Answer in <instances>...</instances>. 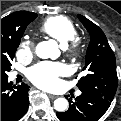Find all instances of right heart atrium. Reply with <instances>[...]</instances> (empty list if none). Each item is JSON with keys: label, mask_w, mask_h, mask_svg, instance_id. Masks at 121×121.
I'll list each match as a JSON object with an SVG mask.
<instances>
[{"label": "right heart atrium", "mask_w": 121, "mask_h": 121, "mask_svg": "<svg viewBox=\"0 0 121 121\" xmlns=\"http://www.w3.org/2000/svg\"><path fill=\"white\" fill-rule=\"evenodd\" d=\"M34 50V43L31 40H26L22 42L19 50L18 55L25 57L30 56Z\"/></svg>", "instance_id": "d8ad5b80"}]
</instances>
